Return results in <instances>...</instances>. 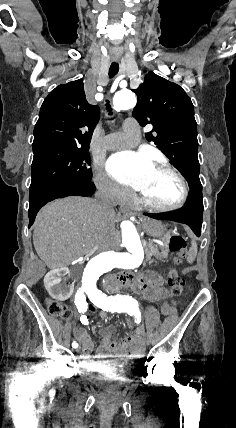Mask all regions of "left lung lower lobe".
I'll return each mask as SVG.
<instances>
[{"label": "left lung lower lobe", "mask_w": 236, "mask_h": 428, "mask_svg": "<svg viewBox=\"0 0 236 428\" xmlns=\"http://www.w3.org/2000/svg\"><path fill=\"white\" fill-rule=\"evenodd\" d=\"M144 215L158 220L187 224L197 236H200L203 216L202 189L190 190L186 204L179 210L159 214L144 213Z\"/></svg>", "instance_id": "1"}]
</instances>
